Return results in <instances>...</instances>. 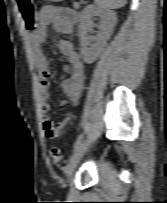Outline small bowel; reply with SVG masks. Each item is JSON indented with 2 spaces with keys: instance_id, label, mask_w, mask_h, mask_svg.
Instances as JSON below:
<instances>
[{
  "instance_id": "c3829d8e",
  "label": "small bowel",
  "mask_w": 167,
  "mask_h": 203,
  "mask_svg": "<svg viewBox=\"0 0 167 203\" xmlns=\"http://www.w3.org/2000/svg\"><path fill=\"white\" fill-rule=\"evenodd\" d=\"M77 21L78 15L71 9L45 6L39 11L38 22L35 28L30 30L28 35L32 57L40 73L39 92L41 110L43 113L42 127L45 136L50 139L58 137L65 130L71 115L67 114L66 117L58 123H54L48 116L50 110L49 90L52 73L44 47L46 32L49 26H53L55 31L72 37L74 35V28ZM58 48L61 53L66 56L68 62L65 67L68 77L61 83L62 90L67 99L61 101L60 105L65 106L68 103L76 105L81 96L85 79L84 64L71 39L59 41Z\"/></svg>"
}]
</instances>
